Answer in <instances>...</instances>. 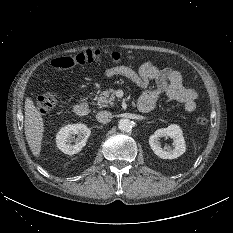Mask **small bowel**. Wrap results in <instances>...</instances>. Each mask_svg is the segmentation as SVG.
Returning <instances> with one entry per match:
<instances>
[{"instance_id":"obj_1","label":"small bowel","mask_w":233,"mask_h":233,"mask_svg":"<svg viewBox=\"0 0 233 233\" xmlns=\"http://www.w3.org/2000/svg\"><path fill=\"white\" fill-rule=\"evenodd\" d=\"M107 77L122 76L141 88H147L152 81L156 87L146 90L138 101L151 110L158 101L161 94H165L168 100L181 103L186 112L192 113L196 110L197 92L183 85L182 76L178 71L170 68H158L153 62L143 63L138 70L125 65H117L105 70Z\"/></svg>"}]
</instances>
